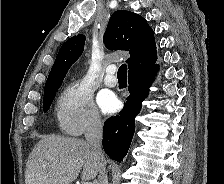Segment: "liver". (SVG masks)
Masks as SVG:
<instances>
[{
  "instance_id": "6515ba94",
  "label": "liver",
  "mask_w": 224,
  "mask_h": 184,
  "mask_svg": "<svg viewBox=\"0 0 224 184\" xmlns=\"http://www.w3.org/2000/svg\"><path fill=\"white\" fill-rule=\"evenodd\" d=\"M82 139L47 135L33 148L26 164L25 184H71L82 170V180L95 179L102 165Z\"/></svg>"
}]
</instances>
